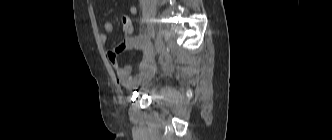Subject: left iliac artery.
<instances>
[{"label": "left iliac artery", "mask_w": 332, "mask_h": 140, "mask_svg": "<svg viewBox=\"0 0 332 140\" xmlns=\"http://www.w3.org/2000/svg\"><path fill=\"white\" fill-rule=\"evenodd\" d=\"M149 35H150V37L152 38V39H154L155 38V31H154V29H150L149 30Z\"/></svg>", "instance_id": "obj_1"}]
</instances>
